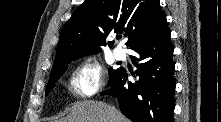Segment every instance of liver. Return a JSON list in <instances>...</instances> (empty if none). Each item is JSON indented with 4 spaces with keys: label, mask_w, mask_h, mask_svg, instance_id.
Listing matches in <instances>:
<instances>
[{
    "label": "liver",
    "mask_w": 221,
    "mask_h": 122,
    "mask_svg": "<svg viewBox=\"0 0 221 122\" xmlns=\"http://www.w3.org/2000/svg\"><path fill=\"white\" fill-rule=\"evenodd\" d=\"M61 122H128L115 107L103 102L86 100L74 102Z\"/></svg>",
    "instance_id": "1"
}]
</instances>
